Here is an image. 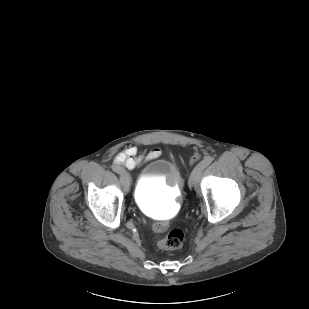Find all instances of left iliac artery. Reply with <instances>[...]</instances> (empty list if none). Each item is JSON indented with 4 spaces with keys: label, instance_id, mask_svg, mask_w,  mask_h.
Masks as SVG:
<instances>
[{
    "label": "left iliac artery",
    "instance_id": "44dca946",
    "mask_svg": "<svg viewBox=\"0 0 309 309\" xmlns=\"http://www.w3.org/2000/svg\"><path fill=\"white\" fill-rule=\"evenodd\" d=\"M213 161V157L207 156L205 157L199 164L198 166L193 170L191 173L190 178H194L195 174L199 171L204 170L211 162Z\"/></svg>",
    "mask_w": 309,
    "mask_h": 309
}]
</instances>
